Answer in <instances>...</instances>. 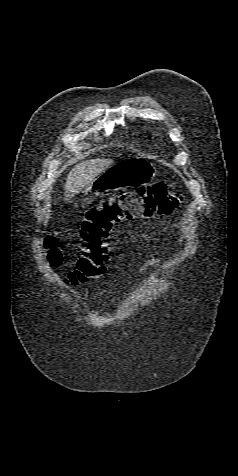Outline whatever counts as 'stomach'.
<instances>
[{"instance_id":"obj_1","label":"stomach","mask_w":238,"mask_h":476,"mask_svg":"<svg viewBox=\"0 0 238 476\" xmlns=\"http://www.w3.org/2000/svg\"><path fill=\"white\" fill-rule=\"evenodd\" d=\"M151 164H145L144 156H131L129 160L111 166L97 176L85 189V193L103 194L112 190H129L130 183H148L152 177Z\"/></svg>"}]
</instances>
